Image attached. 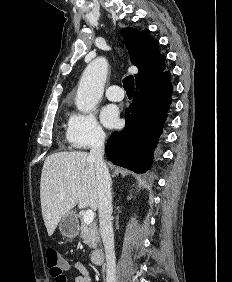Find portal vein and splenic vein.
Returning <instances> with one entry per match:
<instances>
[{
	"label": "portal vein and splenic vein",
	"mask_w": 232,
	"mask_h": 282,
	"mask_svg": "<svg viewBox=\"0 0 232 282\" xmlns=\"http://www.w3.org/2000/svg\"><path fill=\"white\" fill-rule=\"evenodd\" d=\"M94 212L92 210H87L83 215V221L87 224L93 222Z\"/></svg>",
	"instance_id": "portal-vein-and-splenic-vein-1"
}]
</instances>
